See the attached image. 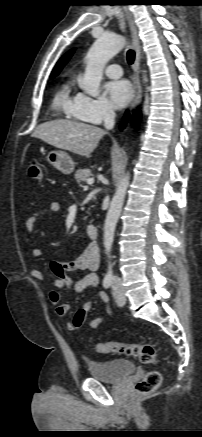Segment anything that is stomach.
<instances>
[{
	"mask_svg": "<svg viewBox=\"0 0 202 437\" xmlns=\"http://www.w3.org/2000/svg\"><path fill=\"white\" fill-rule=\"evenodd\" d=\"M46 159L52 166L65 175H69L74 171L75 164L72 158L64 151H50Z\"/></svg>",
	"mask_w": 202,
	"mask_h": 437,
	"instance_id": "0dacf381",
	"label": "stomach"
}]
</instances>
